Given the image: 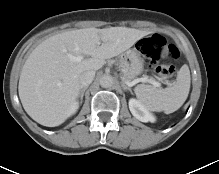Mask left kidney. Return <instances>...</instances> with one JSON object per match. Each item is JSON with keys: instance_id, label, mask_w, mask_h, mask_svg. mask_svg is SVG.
<instances>
[{"instance_id": "left-kidney-1", "label": "left kidney", "mask_w": 219, "mask_h": 174, "mask_svg": "<svg viewBox=\"0 0 219 174\" xmlns=\"http://www.w3.org/2000/svg\"><path fill=\"white\" fill-rule=\"evenodd\" d=\"M129 109L132 115L141 122H154L155 117L138 100L131 98L129 100Z\"/></svg>"}]
</instances>
